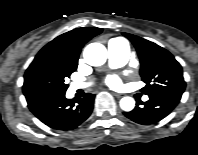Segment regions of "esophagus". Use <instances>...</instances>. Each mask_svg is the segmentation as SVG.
Here are the masks:
<instances>
[{
	"label": "esophagus",
	"mask_w": 198,
	"mask_h": 155,
	"mask_svg": "<svg viewBox=\"0 0 198 155\" xmlns=\"http://www.w3.org/2000/svg\"><path fill=\"white\" fill-rule=\"evenodd\" d=\"M116 98H121V97H123V94H120V93H115V92H113L112 93Z\"/></svg>",
	"instance_id": "34e87169"
}]
</instances>
